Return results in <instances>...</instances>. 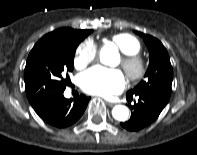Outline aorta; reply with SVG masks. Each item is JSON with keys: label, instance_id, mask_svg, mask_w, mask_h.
<instances>
[{"label": "aorta", "instance_id": "1", "mask_svg": "<svg viewBox=\"0 0 197 155\" xmlns=\"http://www.w3.org/2000/svg\"><path fill=\"white\" fill-rule=\"evenodd\" d=\"M115 54H116L115 48H113L112 46H104L100 52L101 63L106 65L110 64V61ZM112 116L114 119L118 121H126L129 116V110L124 105H116L112 109Z\"/></svg>", "mask_w": 197, "mask_h": 155}]
</instances>
